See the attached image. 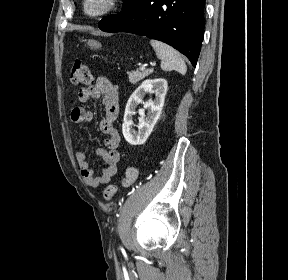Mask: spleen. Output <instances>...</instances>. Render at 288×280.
<instances>
[{
    "mask_svg": "<svg viewBox=\"0 0 288 280\" xmlns=\"http://www.w3.org/2000/svg\"><path fill=\"white\" fill-rule=\"evenodd\" d=\"M149 43L155 50L157 57L161 59V68L163 70H176L183 75L186 73V64L173 47L157 40H150Z\"/></svg>",
    "mask_w": 288,
    "mask_h": 280,
    "instance_id": "spleen-1",
    "label": "spleen"
}]
</instances>
